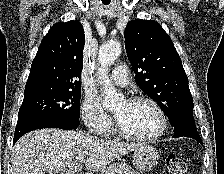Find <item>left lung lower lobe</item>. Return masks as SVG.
<instances>
[{"label": "left lung lower lobe", "mask_w": 224, "mask_h": 174, "mask_svg": "<svg viewBox=\"0 0 224 174\" xmlns=\"http://www.w3.org/2000/svg\"><path fill=\"white\" fill-rule=\"evenodd\" d=\"M174 137H190L202 144V140L197 132L193 115L180 117L173 125Z\"/></svg>", "instance_id": "0a47b994"}]
</instances>
